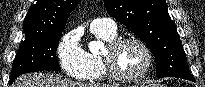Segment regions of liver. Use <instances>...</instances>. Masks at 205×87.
<instances>
[{"instance_id":"1","label":"liver","mask_w":205,"mask_h":87,"mask_svg":"<svg viewBox=\"0 0 205 87\" xmlns=\"http://www.w3.org/2000/svg\"><path fill=\"white\" fill-rule=\"evenodd\" d=\"M12 87H118L109 84H84L73 82L58 76L43 73H30L20 76Z\"/></svg>"}]
</instances>
